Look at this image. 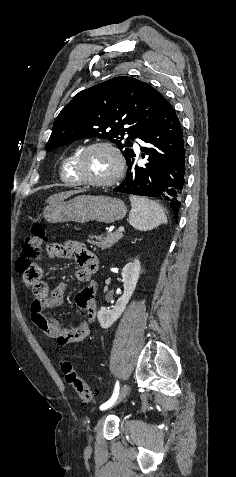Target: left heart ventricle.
<instances>
[{"label": "left heart ventricle", "instance_id": "obj_1", "mask_svg": "<svg viewBox=\"0 0 236 477\" xmlns=\"http://www.w3.org/2000/svg\"><path fill=\"white\" fill-rule=\"evenodd\" d=\"M115 170V158L105 148H94L90 150L83 159L81 166L83 177L94 181L109 179Z\"/></svg>", "mask_w": 236, "mask_h": 477}]
</instances>
